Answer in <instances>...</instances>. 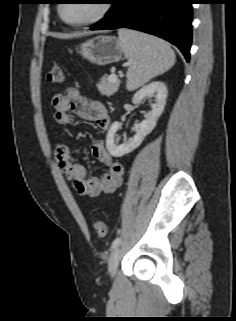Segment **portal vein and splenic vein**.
<instances>
[{"label":"portal vein and splenic vein","instance_id":"obj_1","mask_svg":"<svg viewBox=\"0 0 236 321\" xmlns=\"http://www.w3.org/2000/svg\"><path fill=\"white\" fill-rule=\"evenodd\" d=\"M116 78H117V76L114 75V74H112V75H110L109 80H114V79H116Z\"/></svg>","mask_w":236,"mask_h":321}]
</instances>
